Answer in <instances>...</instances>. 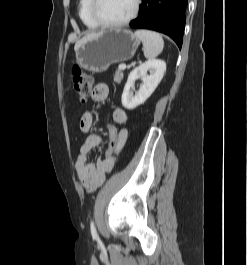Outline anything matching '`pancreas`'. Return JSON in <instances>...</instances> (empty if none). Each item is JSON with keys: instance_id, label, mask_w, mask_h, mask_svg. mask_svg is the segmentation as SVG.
Returning <instances> with one entry per match:
<instances>
[{"instance_id": "obj_1", "label": "pancreas", "mask_w": 247, "mask_h": 265, "mask_svg": "<svg viewBox=\"0 0 247 265\" xmlns=\"http://www.w3.org/2000/svg\"><path fill=\"white\" fill-rule=\"evenodd\" d=\"M123 79V72L121 70H117L115 75H114V82L115 83H121Z\"/></svg>"}]
</instances>
